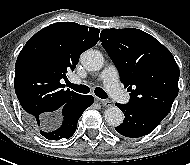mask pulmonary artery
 Listing matches in <instances>:
<instances>
[{
	"instance_id": "obj_1",
	"label": "pulmonary artery",
	"mask_w": 190,
	"mask_h": 165,
	"mask_svg": "<svg viewBox=\"0 0 190 165\" xmlns=\"http://www.w3.org/2000/svg\"><path fill=\"white\" fill-rule=\"evenodd\" d=\"M100 79L108 93L118 101H124L126 96L118 83V72L114 66L106 67L100 74ZM73 82L79 83V80L73 79Z\"/></svg>"
}]
</instances>
